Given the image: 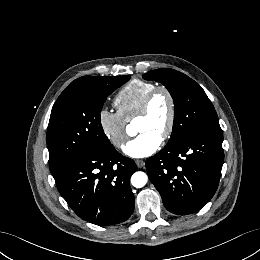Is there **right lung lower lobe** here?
Wrapping results in <instances>:
<instances>
[{
  "mask_svg": "<svg viewBox=\"0 0 260 260\" xmlns=\"http://www.w3.org/2000/svg\"><path fill=\"white\" fill-rule=\"evenodd\" d=\"M136 168L132 159L113 148L73 156L51 173L60 194L79 217L109 226L124 222L134 210L130 177Z\"/></svg>",
  "mask_w": 260,
  "mask_h": 260,
  "instance_id": "right-lung-lower-lobe-1",
  "label": "right lung lower lobe"
}]
</instances>
